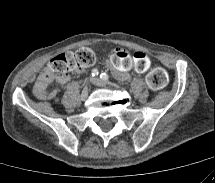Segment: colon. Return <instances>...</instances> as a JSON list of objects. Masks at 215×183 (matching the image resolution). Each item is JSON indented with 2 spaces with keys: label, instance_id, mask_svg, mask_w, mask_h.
Listing matches in <instances>:
<instances>
[{
  "label": "colon",
  "instance_id": "1",
  "mask_svg": "<svg viewBox=\"0 0 215 183\" xmlns=\"http://www.w3.org/2000/svg\"><path fill=\"white\" fill-rule=\"evenodd\" d=\"M144 55L146 56V54ZM146 58L148 61L147 71L150 67V60L147 56ZM94 62L95 54L90 48H80L75 52L62 53L49 62L44 71L43 80L62 78L70 71H80L92 66ZM167 81V72L161 67L150 70L146 76L147 84L153 89L163 88Z\"/></svg>",
  "mask_w": 215,
  "mask_h": 183
}]
</instances>
